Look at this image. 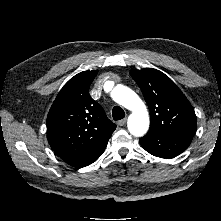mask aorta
Returning <instances> with one entry per match:
<instances>
[{
  "instance_id": "aorta-1",
  "label": "aorta",
  "mask_w": 221,
  "mask_h": 221,
  "mask_svg": "<svg viewBox=\"0 0 221 221\" xmlns=\"http://www.w3.org/2000/svg\"><path fill=\"white\" fill-rule=\"evenodd\" d=\"M112 99L131 111L128 118V130L137 137H141L148 131L149 114L145 104L139 96L130 88L117 85L111 92Z\"/></svg>"
}]
</instances>
